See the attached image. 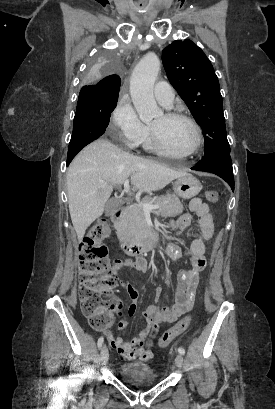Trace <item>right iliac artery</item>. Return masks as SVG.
<instances>
[{
    "label": "right iliac artery",
    "mask_w": 275,
    "mask_h": 409,
    "mask_svg": "<svg viewBox=\"0 0 275 409\" xmlns=\"http://www.w3.org/2000/svg\"><path fill=\"white\" fill-rule=\"evenodd\" d=\"M103 342H104V338L101 336V337L98 339V343H97L98 348H101V347H102Z\"/></svg>",
    "instance_id": "right-iliac-artery-1"
}]
</instances>
